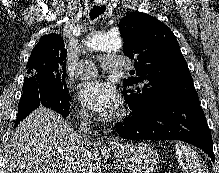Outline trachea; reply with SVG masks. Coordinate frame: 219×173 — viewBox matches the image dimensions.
<instances>
[{
	"instance_id": "obj_1",
	"label": "trachea",
	"mask_w": 219,
	"mask_h": 173,
	"mask_svg": "<svg viewBox=\"0 0 219 173\" xmlns=\"http://www.w3.org/2000/svg\"><path fill=\"white\" fill-rule=\"evenodd\" d=\"M105 10H106L105 6H94L89 14L91 20H94L95 18H97L99 15L104 13Z\"/></svg>"
}]
</instances>
